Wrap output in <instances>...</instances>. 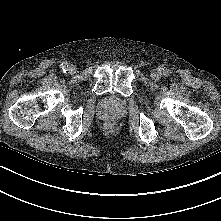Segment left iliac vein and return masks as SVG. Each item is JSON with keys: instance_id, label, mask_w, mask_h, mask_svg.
Listing matches in <instances>:
<instances>
[{"instance_id": "obj_1", "label": "left iliac vein", "mask_w": 221, "mask_h": 221, "mask_svg": "<svg viewBox=\"0 0 221 221\" xmlns=\"http://www.w3.org/2000/svg\"><path fill=\"white\" fill-rule=\"evenodd\" d=\"M150 76H151V78H152L153 80H158V79H160V77H161V71L158 70V69H153V70L151 71Z\"/></svg>"}]
</instances>
